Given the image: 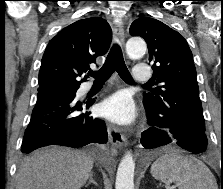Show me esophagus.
<instances>
[{
    "instance_id": "34e87169",
    "label": "esophagus",
    "mask_w": 223,
    "mask_h": 189,
    "mask_svg": "<svg viewBox=\"0 0 223 189\" xmlns=\"http://www.w3.org/2000/svg\"><path fill=\"white\" fill-rule=\"evenodd\" d=\"M114 41L121 47L124 45L125 34L122 22H116L113 28ZM109 141L116 148L123 147L126 144V138L121 131L112 124L107 125Z\"/></svg>"
}]
</instances>
